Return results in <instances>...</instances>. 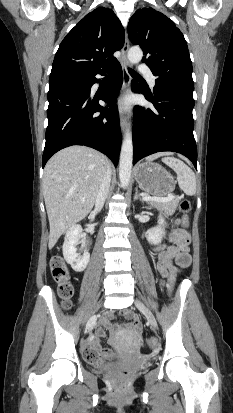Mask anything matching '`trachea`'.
Segmentation results:
<instances>
[{
    "mask_svg": "<svg viewBox=\"0 0 233 413\" xmlns=\"http://www.w3.org/2000/svg\"><path fill=\"white\" fill-rule=\"evenodd\" d=\"M129 73H130L132 76H137V77H139V75H138L134 70H132V69H129Z\"/></svg>",
    "mask_w": 233,
    "mask_h": 413,
    "instance_id": "trachea-1",
    "label": "trachea"
}]
</instances>
